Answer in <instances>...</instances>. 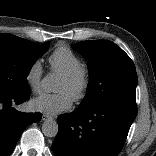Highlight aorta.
I'll return each instance as SVG.
<instances>
[{"mask_svg": "<svg viewBox=\"0 0 156 156\" xmlns=\"http://www.w3.org/2000/svg\"><path fill=\"white\" fill-rule=\"evenodd\" d=\"M42 87L46 91H51L53 88V78L47 75L42 80ZM42 132L46 137H55L58 133V123L54 119H47L42 125Z\"/></svg>", "mask_w": 156, "mask_h": 156, "instance_id": "aorta-1", "label": "aorta"}]
</instances>
